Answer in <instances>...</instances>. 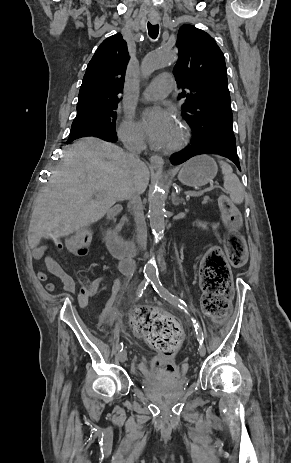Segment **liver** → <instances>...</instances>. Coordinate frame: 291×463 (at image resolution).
<instances>
[{
	"label": "liver",
	"instance_id": "obj_1",
	"mask_svg": "<svg viewBox=\"0 0 291 463\" xmlns=\"http://www.w3.org/2000/svg\"><path fill=\"white\" fill-rule=\"evenodd\" d=\"M145 163L132 166L117 145L94 137L76 141L36 198L29 225L32 248L42 238H61L104 217L133 186L143 193L149 183Z\"/></svg>",
	"mask_w": 291,
	"mask_h": 463
}]
</instances>
